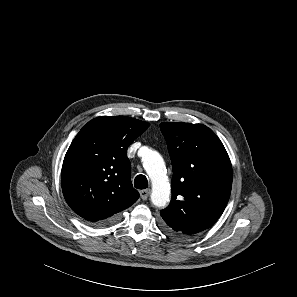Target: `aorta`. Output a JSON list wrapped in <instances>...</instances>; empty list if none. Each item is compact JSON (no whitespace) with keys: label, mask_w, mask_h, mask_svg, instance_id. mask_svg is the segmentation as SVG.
<instances>
[{"label":"aorta","mask_w":297,"mask_h":297,"mask_svg":"<svg viewBox=\"0 0 297 297\" xmlns=\"http://www.w3.org/2000/svg\"><path fill=\"white\" fill-rule=\"evenodd\" d=\"M142 160L143 167L152 182L151 201L156 207H164L169 201L171 192L164 160L156 151H148Z\"/></svg>","instance_id":"obj_1"}]
</instances>
